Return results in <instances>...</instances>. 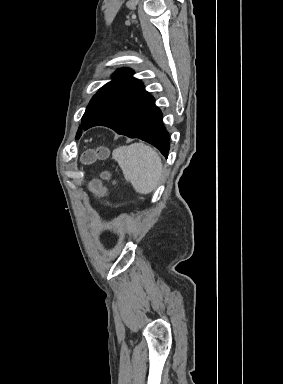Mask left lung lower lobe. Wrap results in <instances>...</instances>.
<instances>
[{
    "label": "left lung lower lobe",
    "mask_w": 283,
    "mask_h": 384,
    "mask_svg": "<svg viewBox=\"0 0 283 384\" xmlns=\"http://www.w3.org/2000/svg\"><path fill=\"white\" fill-rule=\"evenodd\" d=\"M102 125L118 134L144 140L167 157L170 148L169 134L162 122V112L155 99L140 84L111 109L89 123L84 130Z\"/></svg>",
    "instance_id": "0a47b994"
}]
</instances>
